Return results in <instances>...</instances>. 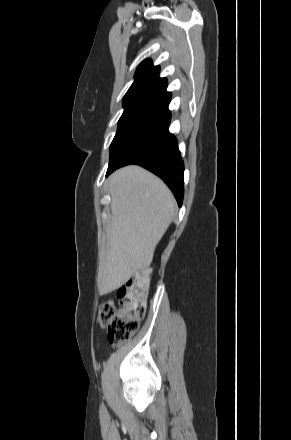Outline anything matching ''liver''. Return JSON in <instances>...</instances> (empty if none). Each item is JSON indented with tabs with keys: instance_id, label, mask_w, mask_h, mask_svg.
Listing matches in <instances>:
<instances>
[{
	"instance_id": "1",
	"label": "liver",
	"mask_w": 291,
	"mask_h": 440,
	"mask_svg": "<svg viewBox=\"0 0 291 440\" xmlns=\"http://www.w3.org/2000/svg\"><path fill=\"white\" fill-rule=\"evenodd\" d=\"M111 221L101 294L124 285L148 267L160 239L175 215V199L165 183L137 165L114 172L110 178Z\"/></svg>"
}]
</instances>
